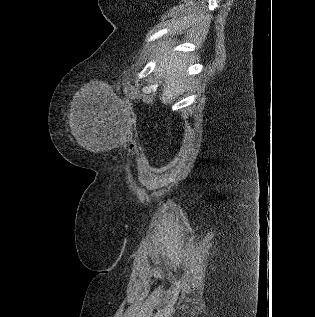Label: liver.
I'll list each match as a JSON object with an SVG mask.
<instances>
[{
	"mask_svg": "<svg viewBox=\"0 0 315 317\" xmlns=\"http://www.w3.org/2000/svg\"><path fill=\"white\" fill-rule=\"evenodd\" d=\"M174 45V41L171 42ZM170 43H163V47L169 46ZM167 50L158 54V58L163 54L161 61L155 69V75L161 79L162 82V95L160 99L164 104L171 103L175 96L182 95L189 84L190 80L184 76V70L186 69V56L179 54L167 55ZM72 131L76 136L78 142L86 147H89L87 141L84 138L79 137L80 124L78 116L74 115L71 119Z\"/></svg>",
	"mask_w": 315,
	"mask_h": 317,
	"instance_id": "6515ba94",
	"label": "liver"
}]
</instances>
